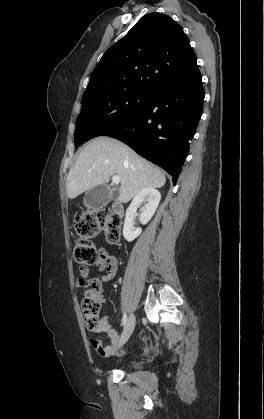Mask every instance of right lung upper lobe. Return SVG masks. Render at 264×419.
<instances>
[{
    "label": "right lung upper lobe",
    "instance_id": "cb5924a9",
    "mask_svg": "<svg viewBox=\"0 0 264 419\" xmlns=\"http://www.w3.org/2000/svg\"><path fill=\"white\" fill-rule=\"evenodd\" d=\"M199 75L196 55L182 27L169 16L154 12L143 16L104 53L84 96L133 88L153 91Z\"/></svg>",
    "mask_w": 264,
    "mask_h": 419
}]
</instances>
